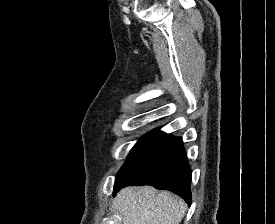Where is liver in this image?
<instances>
[{"label":"liver","mask_w":275,"mask_h":224,"mask_svg":"<svg viewBox=\"0 0 275 224\" xmlns=\"http://www.w3.org/2000/svg\"><path fill=\"white\" fill-rule=\"evenodd\" d=\"M113 208L121 214L123 224H179L187 206L170 192L143 186L120 190Z\"/></svg>","instance_id":"6515ba94"}]
</instances>
